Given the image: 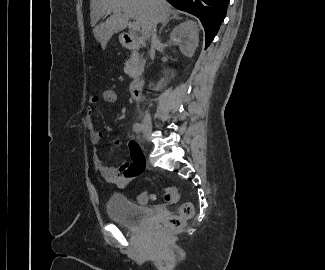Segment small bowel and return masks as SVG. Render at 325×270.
Wrapping results in <instances>:
<instances>
[{
  "label": "small bowel",
  "instance_id": "obj_1",
  "mask_svg": "<svg viewBox=\"0 0 325 270\" xmlns=\"http://www.w3.org/2000/svg\"><path fill=\"white\" fill-rule=\"evenodd\" d=\"M99 100L100 97L92 95L89 98V103L90 105H94ZM85 122L89 130L91 142L95 145L100 143L103 138V133L95 127L92 107L87 109ZM129 155L132 162L124 161L119 165L105 164L102 157L96 151L93 153L92 158L100 176L107 183L113 184L117 188H123L131 183L144 169V162L140 158L137 147L132 142L129 143Z\"/></svg>",
  "mask_w": 325,
  "mask_h": 270
}]
</instances>
